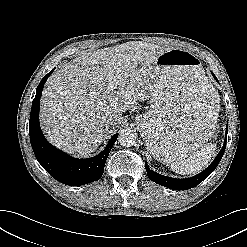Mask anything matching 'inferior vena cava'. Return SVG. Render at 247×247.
Wrapping results in <instances>:
<instances>
[{
	"label": "inferior vena cava",
	"instance_id": "inferior-vena-cava-1",
	"mask_svg": "<svg viewBox=\"0 0 247 247\" xmlns=\"http://www.w3.org/2000/svg\"><path fill=\"white\" fill-rule=\"evenodd\" d=\"M121 120V118L119 117L118 114H111L108 119H107V122L110 124V125H114V124H117L119 123Z\"/></svg>",
	"mask_w": 247,
	"mask_h": 247
}]
</instances>
